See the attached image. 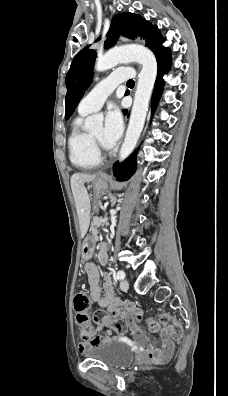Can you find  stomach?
Wrapping results in <instances>:
<instances>
[{"label":"stomach","instance_id":"stomach-1","mask_svg":"<svg viewBox=\"0 0 228 396\" xmlns=\"http://www.w3.org/2000/svg\"><path fill=\"white\" fill-rule=\"evenodd\" d=\"M95 199H99L102 194L108 189V178L106 176H99L93 183ZM98 210L97 207H95ZM97 237L88 234L81 245V255L83 260H88L92 257L95 249Z\"/></svg>","mask_w":228,"mask_h":396}]
</instances>
